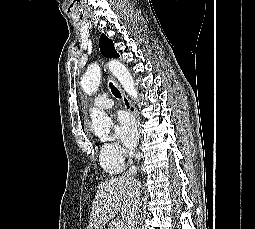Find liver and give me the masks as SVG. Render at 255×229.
I'll return each instance as SVG.
<instances>
[{"label": "liver", "instance_id": "6515ba94", "mask_svg": "<svg viewBox=\"0 0 255 229\" xmlns=\"http://www.w3.org/2000/svg\"><path fill=\"white\" fill-rule=\"evenodd\" d=\"M139 193L140 187L136 180L131 181L123 176H117L102 181L93 200L87 229H100L118 212L126 218Z\"/></svg>", "mask_w": 255, "mask_h": 229}]
</instances>
